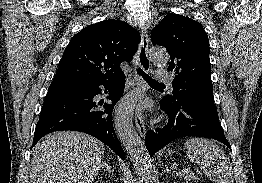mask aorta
Listing matches in <instances>:
<instances>
[{
  "mask_svg": "<svg viewBox=\"0 0 262 183\" xmlns=\"http://www.w3.org/2000/svg\"><path fill=\"white\" fill-rule=\"evenodd\" d=\"M150 58L155 66H165L169 55L165 49L154 47L150 49ZM140 96V92L132 91L119 101L114 123L121 142L131 156L139 181L147 183L152 174V162L132 123L134 109Z\"/></svg>",
  "mask_w": 262,
  "mask_h": 183,
  "instance_id": "aorta-1",
  "label": "aorta"
}]
</instances>
